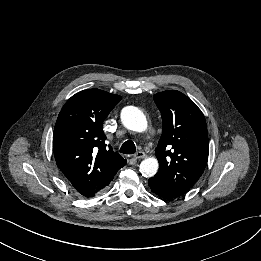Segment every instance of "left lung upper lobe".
Listing matches in <instances>:
<instances>
[{
	"mask_svg": "<svg viewBox=\"0 0 261 261\" xmlns=\"http://www.w3.org/2000/svg\"><path fill=\"white\" fill-rule=\"evenodd\" d=\"M162 116V135L155 149L159 170L153 177L181 196L202 175L209 154L206 121L201 110L179 91L154 95Z\"/></svg>",
	"mask_w": 261,
	"mask_h": 261,
	"instance_id": "obj_1",
	"label": "left lung upper lobe"
}]
</instances>
